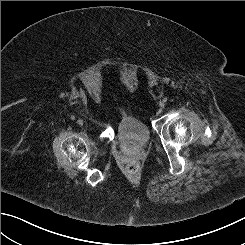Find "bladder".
Wrapping results in <instances>:
<instances>
[{
  "label": "bladder",
  "mask_w": 245,
  "mask_h": 245,
  "mask_svg": "<svg viewBox=\"0 0 245 245\" xmlns=\"http://www.w3.org/2000/svg\"><path fill=\"white\" fill-rule=\"evenodd\" d=\"M119 141L131 148H141L150 140V130L146 123L132 116H124L117 126Z\"/></svg>",
  "instance_id": "bladder-1"
}]
</instances>
